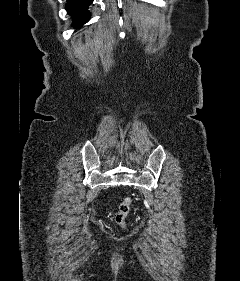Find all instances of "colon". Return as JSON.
Listing matches in <instances>:
<instances>
[{
  "instance_id": "obj_1",
  "label": "colon",
  "mask_w": 240,
  "mask_h": 281,
  "mask_svg": "<svg viewBox=\"0 0 240 281\" xmlns=\"http://www.w3.org/2000/svg\"><path fill=\"white\" fill-rule=\"evenodd\" d=\"M131 206L132 199L130 197L124 198L119 205V210L115 216V221L122 228L126 226V217L129 214Z\"/></svg>"
}]
</instances>
